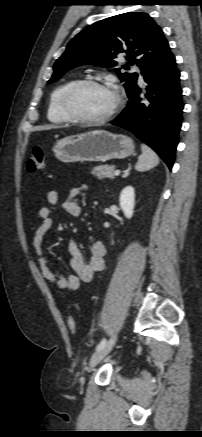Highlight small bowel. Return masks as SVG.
Instances as JSON below:
<instances>
[{
    "mask_svg": "<svg viewBox=\"0 0 202 437\" xmlns=\"http://www.w3.org/2000/svg\"><path fill=\"white\" fill-rule=\"evenodd\" d=\"M88 190L85 183L79 184L70 189L66 199L61 204L62 209L71 216L81 214V206L78 197ZM47 201L50 206L41 207L39 217L41 222L36 227L33 236V247L37 255V261L41 268L43 277L49 284H55L58 289L74 291L79 288L81 282H91L96 273L101 271L105 264L106 248L102 241L96 240L90 243L88 258H85L75 240L69 242V252L71 255L70 265L72 274L64 276L55 273L51 267L48 257L43 250V238L46 232L55 222L53 207L59 204V194L56 190L47 193Z\"/></svg>",
    "mask_w": 202,
    "mask_h": 437,
    "instance_id": "small-bowel-1",
    "label": "small bowel"
}]
</instances>
